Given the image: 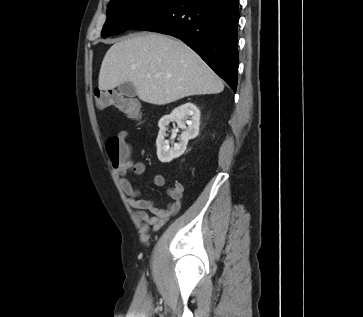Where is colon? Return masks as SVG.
Returning a JSON list of instances; mask_svg holds the SVG:
<instances>
[{"mask_svg":"<svg viewBox=\"0 0 363 317\" xmlns=\"http://www.w3.org/2000/svg\"><path fill=\"white\" fill-rule=\"evenodd\" d=\"M97 107L105 109L114 107L131 119L140 117V107L137 101L114 90L96 89L93 93ZM105 148L114 165L118 166L129 158L130 149L120 135H114L107 139Z\"/></svg>","mask_w":363,"mask_h":317,"instance_id":"1","label":"colon"}]
</instances>
